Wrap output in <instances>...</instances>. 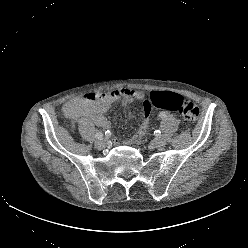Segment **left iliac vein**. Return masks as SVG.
<instances>
[{
    "mask_svg": "<svg viewBox=\"0 0 248 248\" xmlns=\"http://www.w3.org/2000/svg\"><path fill=\"white\" fill-rule=\"evenodd\" d=\"M165 144H166V140L163 136H157L153 141V145L156 148H161V147L165 146Z\"/></svg>",
    "mask_w": 248,
    "mask_h": 248,
    "instance_id": "left-iliac-vein-1",
    "label": "left iliac vein"
}]
</instances>
